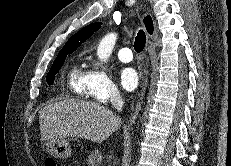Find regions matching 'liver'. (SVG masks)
Wrapping results in <instances>:
<instances>
[{"label":"liver","mask_w":231,"mask_h":166,"mask_svg":"<svg viewBox=\"0 0 231 166\" xmlns=\"http://www.w3.org/2000/svg\"><path fill=\"white\" fill-rule=\"evenodd\" d=\"M39 123L43 141L79 137L101 143L120 128L121 119L99 103L69 99L43 107Z\"/></svg>","instance_id":"liver-1"}]
</instances>
